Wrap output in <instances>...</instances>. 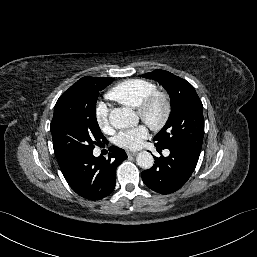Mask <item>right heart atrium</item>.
<instances>
[{"label": "right heart atrium", "instance_id": "1", "mask_svg": "<svg viewBox=\"0 0 257 257\" xmlns=\"http://www.w3.org/2000/svg\"><path fill=\"white\" fill-rule=\"evenodd\" d=\"M96 121L101 129L109 128L108 108L105 104H100L98 106Z\"/></svg>", "mask_w": 257, "mask_h": 257}]
</instances>
